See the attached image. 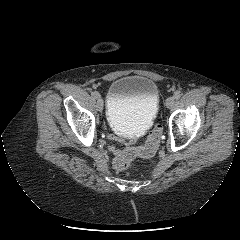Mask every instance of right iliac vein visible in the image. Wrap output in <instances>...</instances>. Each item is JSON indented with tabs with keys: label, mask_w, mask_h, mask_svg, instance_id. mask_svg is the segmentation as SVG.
Returning <instances> with one entry per match:
<instances>
[{
	"label": "right iliac vein",
	"mask_w": 240,
	"mask_h": 240,
	"mask_svg": "<svg viewBox=\"0 0 240 240\" xmlns=\"http://www.w3.org/2000/svg\"><path fill=\"white\" fill-rule=\"evenodd\" d=\"M103 106H104L103 99L99 97V98L97 99V108H98V111H99V112H102V111H103Z\"/></svg>",
	"instance_id": "1"
}]
</instances>
